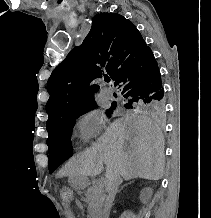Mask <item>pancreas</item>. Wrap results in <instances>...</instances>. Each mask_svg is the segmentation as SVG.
<instances>
[{
  "mask_svg": "<svg viewBox=\"0 0 211 218\" xmlns=\"http://www.w3.org/2000/svg\"><path fill=\"white\" fill-rule=\"evenodd\" d=\"M85 196L89 204L90 218H98L101 214V208L104 206V194L101 186H90V190L87 191Z\"/></svg>",
  "mask_w": 211,
  "mask_h": 218,
  "instance_id": "obj_1",
  "label": "pancreas"
}]
</instances>
